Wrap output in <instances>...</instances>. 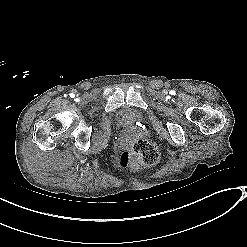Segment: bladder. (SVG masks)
Returning <instances> with one entry per match:
<instances>
[{"label":"bladder","mask_w":247,"mask_h":247,"mask_svg":"<svg viewBox=\"0 0 247 247\" xmlns=\"http://www.w3.org/2000/svg\"><path fill=\"white\" fill-rule=\"evenodd\" d=\"M113 115L121 129L141 126L145 122L144 110L129 105L116 108Z\"/></svg>","instance_id":"obj_1"}]
</instances>
